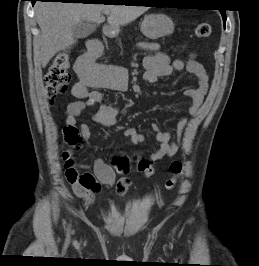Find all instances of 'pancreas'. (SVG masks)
Instances as JSON below:
<instances>
[{
    "label": "pancreas",
    "mask_w": 259,
    "mask_h": 266,
    "mask_svg": "<svg viewBox=\"0 0 259 266\" xmlns=\"http://www.w3.org/2000/svg\"><path fill=\"white\" fill-rule=\"evenodd\" d=\"M141 45L146 47V48H152V45H150V44H148L146 42H142Z\"/></svg>",
    "instance_id": "obj_1"
}]
</instances>
